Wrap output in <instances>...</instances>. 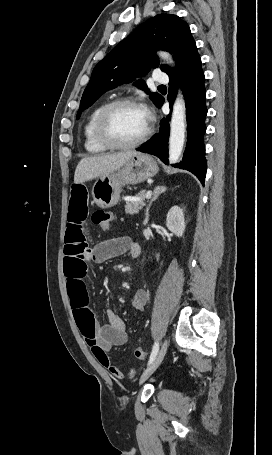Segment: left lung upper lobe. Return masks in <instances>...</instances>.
<instances>
[{"label": "left lung upper lobe", "instance_id": "left-lung-upper-lobe-1", "mask_svg": "<svg viewBox=\"0 0 272 455\" xmlns=\"http://www.w3.org/2000/svg\"><path fill=\"white\" fill-rule=\"evenodd\" d=\"M158 49L173 54L178 64L176 70L166 65L160 67L168 75L181 71L199 57L188 24L178 16L159 14L147 20L95 66L82 95L77 119L106 91L120 84L132 82L135 77L144 76L151 67H158L159 61L155 56ZM134 84L150 93L142 79ZM150 98L157 105L162 96L151 93Z\"/></svg>", "mask_w": 272, "mask_h": 455}]
</instances>
